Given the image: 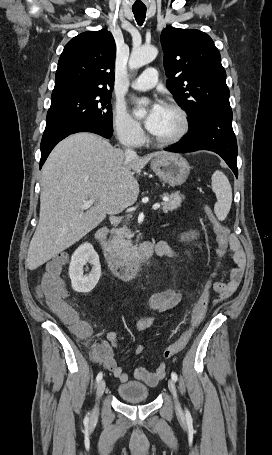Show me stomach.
I'll list each match as a JSON object with an SVG mask.
<instances>
[{"mask_svg": "<svg viewBox=\"0 0 272 455\" xmlns=\"http://www.w3.org/2000/svg\"><path fill=\"white\" fill-rule=\"evenodd\" d=\"M151 168L160 179L172 186L183 184L190 173L187 160L174 153L155 157L151 162Z\"/></svg>", "mask_w": 272, "mask_h": 455, "instance_id": "1", "label": "stomach"}]
</instances>
